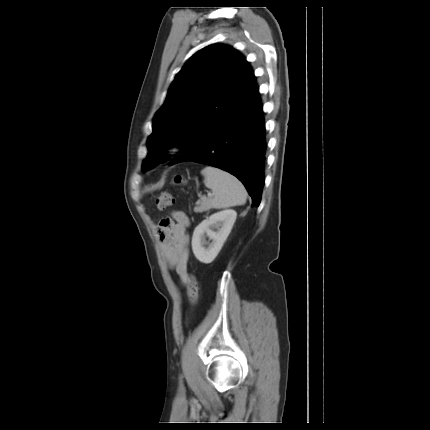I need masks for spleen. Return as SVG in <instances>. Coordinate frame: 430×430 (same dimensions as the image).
Returning <instances> with one entry per match:
<instances>
[{"instance_id":"1","label":"spleen","mask_w":430,"mask_h":430,"mask_svg":"<svg viewBox=\"0 0 430 430\" xmlns=\"http://www.w3.org/2000/svg\"><path fill=\"white\" fill-rule=\"evenodd\" d=\"M205 185L214 193L212 206L228 208L245 204L247 192L244 185L232 174L216 167L206 166L202 172Z\"/></svg>"}]
</instances>
